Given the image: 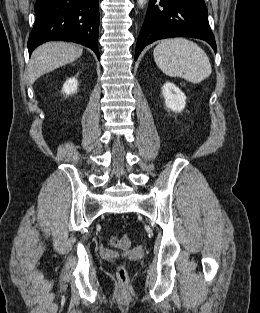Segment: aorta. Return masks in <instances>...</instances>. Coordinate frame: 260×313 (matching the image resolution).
I'll list each match as a JSON object with an SVG mask.
<instances>
[{
	"instance_id": "aorta-1",
	"label": "aorta",
	"mask_w": 260,
	"mask_h": 313,
	"mask_svg": "<svg viewBox=\"0 0 260 313\" xmlns=\"http://www.w3.org/2000/svg\"><path fill=\"white\" fill-rule=\"evenodd\" d=\"M137 2L140 7H143L146 4L147 0H137Z\"/></svg>"
}]
</instances>
